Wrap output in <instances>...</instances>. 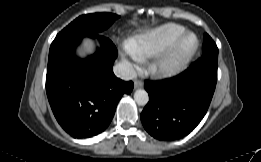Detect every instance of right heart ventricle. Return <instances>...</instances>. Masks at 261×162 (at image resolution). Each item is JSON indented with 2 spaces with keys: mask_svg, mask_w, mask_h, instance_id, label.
<instances>
[{
  "mask_svg": "<svg viewBox=\"0 0 261 162\" xmlns=\"http://www.w3.org/2000/svg\"><path fill=\"white\" fill-rule=\"evenodd\" d=\"M186 29L178 24L168 23L137 35L130 42V51L139 58L158 55L172 44Z\"/></svg>",
  "mask_w": 261,
  "mask_h": 162,
  "instance_id": "obj_1",
  "label": "right heart ventricle"
}]
</instances>
